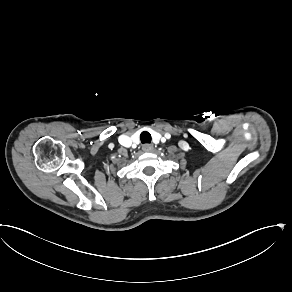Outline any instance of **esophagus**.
Wrapping results in <instances>:
<instances>
[{
    "label": "esophagus",
    "mask_w": 292,
    "mask_h": 292,
    "mask_svg": "<svg viewBox=\"0 0 292 292\" xmlns=\"http://www.w3.org/2000/svg\"><path fill=\"white\" fill-rule=\"evenodd\" d=\"M153 149H154L153 145L149 143L143 144L142 146V150L145 152H151Z\"/></svg>",
    "instance_id": "34e87169"
}]
</instances>
